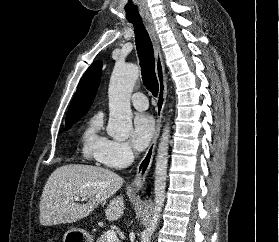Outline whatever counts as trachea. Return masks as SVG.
I'll list each match as a JSON object with an SVG mask.
<instances>
[{"mask_svg":"<svg viewBox=\"0 0 279 242\" xmlns=\"http://www.w3.org/2000/svg\"><path fill=\"white\" fill-rule=\"evenodd\" d=\"M130 23L134 26L136 48L140 60L141 75L144 86L153 94V96L156 97L159 91V83L155 73L152 41L142 20L130 21Z\"/></svg>","mask_w":279,"mask_h":242,"instance_id":"obj_1","label":"trachea"}]
</instances>
